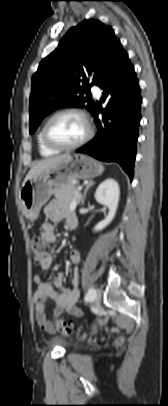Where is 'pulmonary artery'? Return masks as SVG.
<instances>
[{"label": "pulmonary artery", "instance_id": "obj_1", "mask_svg": "<svg viewBox=\"0 0 168 406\" xmlns=\"http://www.w3.org/2000/svg\"><path fill=\"white\" fill-rule=\"evenodd\" d=\"M92 92L96 97L100 96V89L96 86H92Z\"/></svg>", "mask_w": 168, "mask_h": 406}]
</instances>
